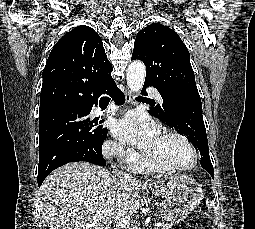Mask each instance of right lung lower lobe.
I'll return each instance as SVG.
<instances>
[{
	"label": "right lung lower lobe",
	"instance_id": "1",
	"mask_svg": "<svg viewBox=\"0 0 255 229\" xmlns=\"http://www.w3.org/2000/svg\"><path fill=\"white\" fill-rule=\"evenodd\" d=\"M112 98L113 100L116 102L117 105H121L124 104L125 102V96L124 94L121 92L120 89H118L116 86L114 88H112L110 91L107 92ZM80 111L86 112L87 114H89L91 112V108L89 109H79ZM107 129V128H106ZM107 135V132H106ZM93 164L96 165H100V166H105L106 162L104 160V158H101L99 160H93L90 161ZM50 172H44V173H38V185L41 186L42 182L44 181V179L47 177V175Z\"/></svg>",
	"mask_w": 255,
	"mask_h": 229
}]
</instances>
